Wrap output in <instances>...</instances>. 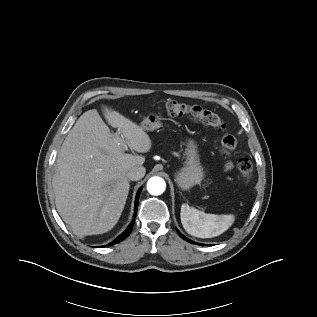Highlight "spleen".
Here are the masks:
<instances>
[{"label": "spleen", "instance_id": "1", "mask_svg": "<svg viewBox=\"0 0 317 317\" xmlns=\"http://www.w3.org/2000/svg\"><path fill=\"white\" fill-rule=\"evenodd\" d=\"M181 222L186 232L199 238H212L219 236L233 224V214H210L190 207L181 206Z\"/></svg>", "mask_w": 317, "mask_h": 317}]
</instances>
